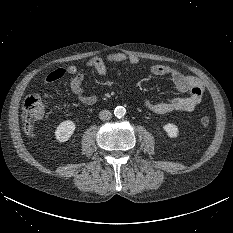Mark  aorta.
Instances as JSON below:
<instances>
[{
	"label": "aorta",
	"mask_w": 233,
	"mask_h": 233,
	"mask_svg": "<svg viewBox=\"0 0 233 233\" xmlns=\"http://www.w3.org/2000/svg\"><path fill=\"white\" fill-rule=\"evenodd\" d=\"M114 114L117 118H122L126 114V109L123 106H117L114 110Z\"/></svg>",
	"instance_id": "obj_1"
}]
</instances>
